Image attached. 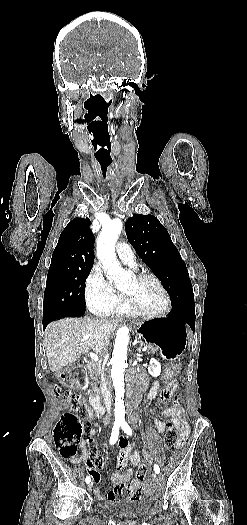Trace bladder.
<instances>
[{
	"label": "bladder",
	"mask_w": 247,
	"mask_h": 525,
	"mask_svg": "<svg viewBox=\"0 0 247 525\" xmlns=\"http://www.w3.org/2000/svg\"><path fill=\"white\" fill-rule=\"evenodd\" d=\"M154 503L155 498L143 496L110 501L105 506L107 512L117 518H137L147 515Z\"/></svg>",
	"instance_id": "31cf9c89"
}]
</instances>
